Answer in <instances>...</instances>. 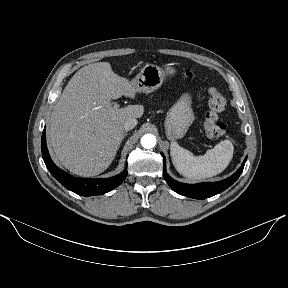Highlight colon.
<instances>
[{
  "instance_id": "5ec220e1",
  "label": "colon",
  "mask_w": 288,
  "mask_h": 288,
  "mask_svg": "<svg viewBox=\"0 0 288 288\" xmlns=\"http://www.w3.org/2000/svg\"><path fill=\"white\" fill-rule=\"evenodd\" d=\"M186 76H191L190 72ZM226 108L225 97L215 88L208 91L207 110L204 118V131L209 139H218L225 133V124L220 119V114Z\"/></svg>"
}]
</instances>
